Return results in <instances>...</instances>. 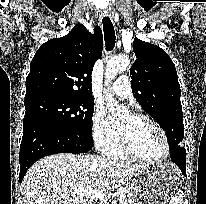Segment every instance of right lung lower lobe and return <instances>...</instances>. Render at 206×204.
Returning a JSON list of instances; mask_svg holds the SVG:
<instances>
[{
    "mask_svg": "<svg viewBox=\"0 0 206 204\" xmlns=\"http://www.w3.org/2000/svg\"><path fill=\"white\" fill-rule=\"evenodd\" d=\"M92 141L74 132L57 126L32 121L23 126V137L20 145V183L28 168L37 160L57 153H85L92 148Z\"/></svg>",
    "mask_w": 206,
    "mask_h": 204,
    "instance_id": "1",
    "label": "right lung lower lobe"
}]
</instances>
